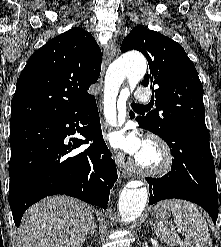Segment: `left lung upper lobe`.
I'll return each instance as SVG.
<instances>
[{"label":"left lung upper lobe","instance_id":"left-lung-upper-lobe-1","mask_svg":"<svg viewBox=\"0 0 221 247\" xmlns=\"http://www.w3.org/2000/svg\"><path fill=\"white\" fill-rule=\"evenodd\" d=\"M138 50L146 57L149 73L142 85L154 88L156 110L140 117L147 128L169 140L175 128L207 131L203 86L192 61L180 44L163 34L136 26L124 38L121 51Z\"/></svg>","mask_w":221,"mask_h":247}]
</instances>
